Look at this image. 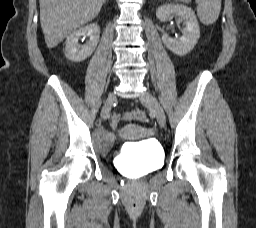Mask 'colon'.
<instances>
[{"label":"colon","instance_id":"1","mask_svg":"<svg viewBox=\"0 0 256 228\" xmlns=\"http://www.w3.org/2000/svg\"><path fill=\"white\" fill-rule=\"evenodd\" d=\"M123 120L144 122L146 120V116L141 110H133L124 114H114L112 116L111 122L114 126H118Z\"/></svg>","mask_w":256,"mask_h":228}]
</instances>
